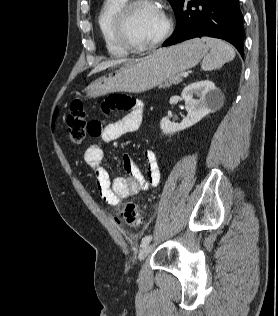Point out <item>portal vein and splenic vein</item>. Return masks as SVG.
<instances>
[{"mask_svg": "<svg viewBox=\"0 0 278 316\" xmlns=\"http://www.w3.org/2000/svg\"><path fill=\"white\" fill-rule=\"evenodd\" d=\"M182 77L187 78L188 77V73L187 72L182 73Z\"/></svg>", "mask_w": 278, "mask_h": 316, "instance_id": "1", "label": "portal vein and splenic vein"}]
</instances>
